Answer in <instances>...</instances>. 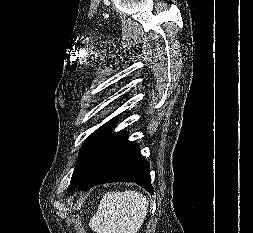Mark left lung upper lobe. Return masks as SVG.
I'll use <instances>...</instances> for the list:
<instances>
[{"label":"left lung upper lobe","instance_id":"5c2ea615","mask_svg":"<svg viewBox=\"0 0 253 233\" xmlns=\"http://www.w3.org/2000/svg\"><path fill=\"white\" fill-rule=\"evenodd\" d=\"M116 125V119L110 120L92 133L85 141L79 152V161L74 169L70 187L82 181L90 172L94 162L104 145L110 139L112 128Z\"/></svg>","mask_w":253,"mask_h":233}]
</instances>
